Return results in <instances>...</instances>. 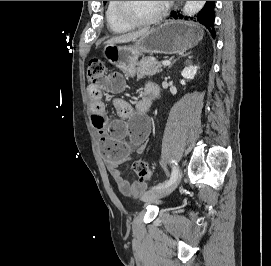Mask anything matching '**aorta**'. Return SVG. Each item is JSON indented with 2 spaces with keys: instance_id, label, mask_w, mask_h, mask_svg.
<instances>
[{
  "instance_id": "762f6f07",
  "label": "aorta",
  "mask_w": 271,
  "mask_h": 266,
  "mask_svg": "<svg viewBox=\"0 0 271 266\" xmlns=\"http://www.w3.org/2000/svg\"><path fill=\"white\" fill-rule=\"evenodd\" d=\"M206 1H186L183 13L186 16H193L197 14L205 5Z\"/></svg>"
}]
</instances>
